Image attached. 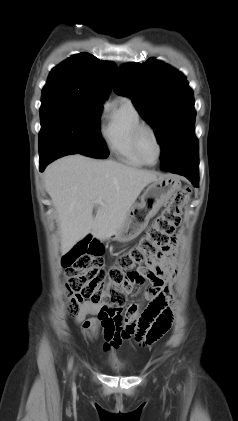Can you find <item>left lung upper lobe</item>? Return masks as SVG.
I'll return each instance as SVG.
<instances>
[{
  "mask_svg": "<svg viewBox=\"0 0 238 421\" xmlns=\"http://www.w3.org/2000/svg\"><path fill=\"white\" fill-rule=\"evenodd\" d=\"M114 91L130 97L153 127L163 170L196 153L193 91L181 72L154 58L143 64L127 63L119 70Z\"/></svg>",
  "mask_w": 238,
  "mask_h": 421,
  "instance_id": "5c2ea615",
  "label": "left lung upper lobe"
}]
</instances>
